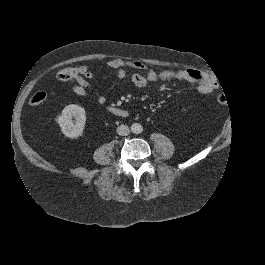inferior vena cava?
Wrapping results in <instances>:
<instances>
[{"instance_id": "1", "label": "inferior vena cava", "mask_w": 265, "mask_h": 265, "mask_svg": "<svg viewBox=\"0 0 265 265\" xmlns=\"http://www.w3.org/2000/svg\"><path fill=\"white\" fill-rule=\"evenodd\" d=\"M116 132H117V134H119V135H128V134H129V128H128V126H126V125H119V126L116 128Z\"/></svg>"}]
</instances>
